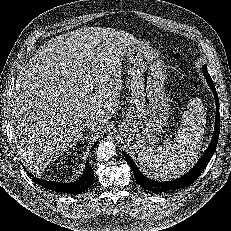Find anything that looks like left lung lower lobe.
Returning <instances> with one entry per match:
<instances>
[{
	"label": "left lung lower lobe",
	"mask_w": 231,
	"mask_h": 231,
	"mask_svg": "<svg viewBox=\"0 0 231 231\" xmlns=\"http://www.w3.org/2000/svg\"><path fill=\"white\" fill-rule=\"evenodd\" d=\"M204 76L206 77V81L213 91L215 101H216L215 129H214V133H213V137L210 142V145L208 146L204 155L199 159L196 165L188 173L172 181H166V182L154 181L144 176L139 171V169L137 168L136 164L131 159V157L125 152H123L125 158L127 159L128 163L130 164L133 170V174H134L136 181L148 191L167 192V191H174V190L189 186L200 176L201 172L206 168V166L208 165L209 161L212 158V155L218 143L219 132H220L219 101H218V95H217L214 83L212 82L210 75L204 73Z\"/></svg>",
	"instance_id": "obj_1"
}]
</instances>
